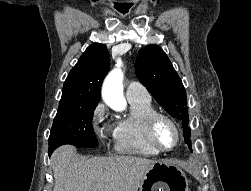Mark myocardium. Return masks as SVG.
<instances>
[{"mask_svg":"<svg viewBox=\"0 0 251 191\" xmlns=\"http://www.w3.org/2000/svg\"><path fill=\"white\" fill-rule=\"evenodd\" d=\"M159 119H165V120L169 121L172 124V126L175 128L176 132L178 133L179 141H178L177 145L175 146V148L170 151H164V150L160 149L155 141L154 127H155L156 122ZM144 135H145V139H146L147 143L149 144V146L158 155H166V154H170V153L177 151L183 145L184 140H185V135H184L180 125L177 123V121L169 114H166L163 112H158V111H154L146 117L145 122H144Z\"/></svg>","mask_w":251,"mask_h":191,"instance_id":"myocardium-1","label":"myocardium"}]
</instances>
